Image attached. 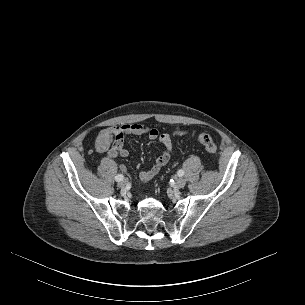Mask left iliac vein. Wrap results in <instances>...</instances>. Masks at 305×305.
Listing matches in <instances>:
<instances>
[{
    "label": "left iliac vein",
    "instance_id": "1",
    "mask_svg": "<svg viewBox=\"0 0 305 305\" xmlns=\"http://www.w3.org/2000/svg\"><path fill=\"white\" fill-rule=\"evenodd\" d=\"M186 184V180L183 177H179L176 179L175 187L176 188H183Z\"/></svg>",
    "mask_w": 305,
    "mask_h": 305
}]
</instances>
